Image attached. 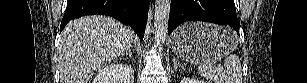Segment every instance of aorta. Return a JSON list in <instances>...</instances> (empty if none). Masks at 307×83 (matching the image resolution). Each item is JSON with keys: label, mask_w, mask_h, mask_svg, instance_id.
Returning <instances> with one entry per match:
<instances>
[{"label": "aorta", "mask_w": 307, "mask_h": 83, "mask_svg": "<svg viewBox=\"0 0 307 83\" xmlns=\"http://www.w3.org/2000/svg\"><path fill=\"white\" fill-rule=\"evenodd\" d=\"M171 0H156L154 14V41L155 47L161 50L168 33V20Z\"/></svg>", "instance_id": "762f6f07"}]
</instances>
